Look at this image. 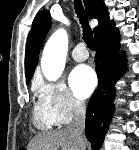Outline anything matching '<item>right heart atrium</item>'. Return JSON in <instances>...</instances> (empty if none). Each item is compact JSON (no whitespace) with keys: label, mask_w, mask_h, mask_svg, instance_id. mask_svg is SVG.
Returning a JSON list of instances; mask_svg holds the SVG:
<instances>
[{"label":"right heart atrium","mask_w":139,"mask_h":150,"mask_svg":"<svg viewBox=\"0 0 139 150\" xmlns=\"http://www.w3.org/2000/svg\"><path fill=\"white\" fill-rule=\"evenodd\" d=\"M39 97L49 107L57 124H67L85 111V104L75 98L62 81L38 84Z\"/></svg>","instance_id":"right-heart-atrium-1"}]
</instances>
